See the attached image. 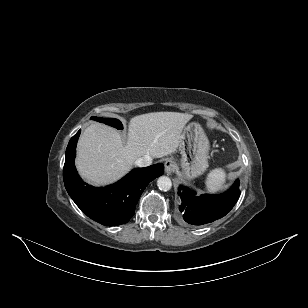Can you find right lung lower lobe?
I'll use <instances>...</instances> for the list:
<instances>
[{
    "label": "right lung lower lobe",
    "mask_w": 308,
    "mask_h": 308,
    "mask_svg": "<svg viewBox=\"0 0 308 308\" xmlns=\"http://www.w3.org/2000/svg\"><path fill=\"white\" fill-rule=\"evenodd\" d=\"M79 135L80 130L71 138L66 149L63 179L68 194L83 213L102 225L127 223L134 215L135 206L146 184L163 174L164 165L134 169L113 185L92 187L80 179L74 165Z\"/></svg>",
    "instance_id": "98d812e1"
}]
</instances>
